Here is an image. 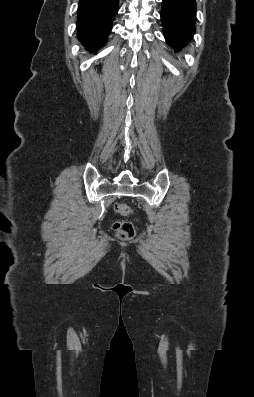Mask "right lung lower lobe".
Returning <instances> with one entry per match:
<instances>
[{
  "label": "right lung lower lobe",
  "mask_w": 254,
  "mask_h": 397,
  "mask_svg": "<svg viewBox=\"0 0 254 397\" xmlns=\"http://www.w3.org/2000/svg\"><path fill=\"white\" fill-rule=\"evenodd\" d=\"M118 12V0H79L77 36L93 52L103 46Z\"/></svg>",
  "instance_id": "obj_1"
}]
</instances>
